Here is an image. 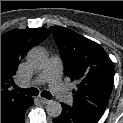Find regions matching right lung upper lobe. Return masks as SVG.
Returning <instances> with one entry per match:
<instances>
[{
  "instance_id": "1",
  "label": "right lung upper lobe",
  "mask_w": 123,
  "mask_h": 123,
  "mask_svg": "<svg viewBox=\"0 0 123 123\" xmlns=\"http://www.w3.org/2000/svg\"><path fill=\"white\" fill-rule=\"evenodd\" d=\"M49 33L45 28H27L13 29L1 35V111L21 105L29 98L8 88L14 84L13 78L22 58Z\"/></svg>"
}]
</instances>
